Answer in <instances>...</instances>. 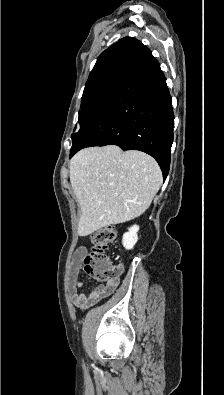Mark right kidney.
<instances>
[{
    "mask_svg": "<svg viewBox=\"0 0 224 395\" xmlns=\"http://www.w3.org/2000/svg\"><path fill=\"white\" fill-rule=\"evenodd\" d=\"M139 231V226L134 225L128 229V232L124 233L123 238H122V244L125 249L131 250L133 249L134 245L138 241V233Z\"/></svg>",
    "mask_w": 224,
    "mask_h": 395,
    "instance_id": "right-kidney-1",
    "label": "right kidney"
}]
</instances>
